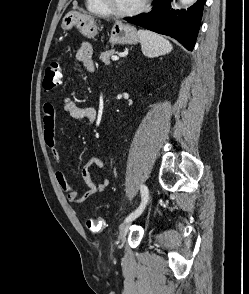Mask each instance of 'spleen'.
<instances>
[{
    "instance_id": "1",
    "label": "spleen",
    "mask_w": 249,
    "mask_h": 294,
    "mask_svg": "<svg viewBox=\"0 0 249 294\" xmlns=\"http://www.w3.org/2000/svg\"><path fill=\"white\" fill-rule=\"evenodd\" d=\"M138 35L142 52L147 57H158L165 55L172 50L171 43L159 34L145 29H140L138 31Z\"/></svg>"
}]
</instances>
